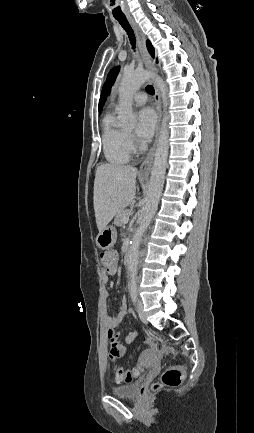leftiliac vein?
<instances>
[{
	"instance_id": "obj_1",
	"label": "left iliac vein",
	"mask_w": 254,
	"mask_h": 433,
	"mask_svg": "<svg viewBox=\"0 0 254 433\" xmlns=\"http://www.w3.org/2000/svg\"><path fill=\"white\" fill-rule=\"evenodd\" d=\"M135 306H136V309H137V312H138L140 320L143 323L146 324L147 323V318H146V315H145L144 310H143V303H142V301L140 299H136Z\"/></svg>"
}]
</instances>
